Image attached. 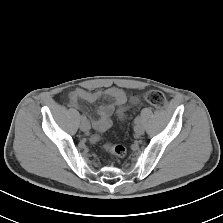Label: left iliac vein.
<instances>
[{"label":"left iliac vein","instance_id":"1","mask_svg":"<svg viewBox=\"0 0 223 223\" xmlns=\"http://www.w3.org/2000/svg\"><path fill=\"white\" fill-rule=\"evenodd\" d=\"M134 131H135V134L137 136L143 135L144 134V128H143L142 124H140V123L136 124L135 127H134Z\"/></svg>","mask_w":223,"mask_h":223}]
</instances>
